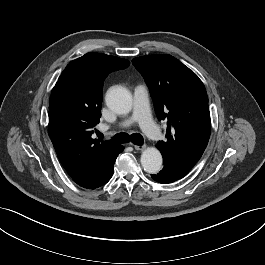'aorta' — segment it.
Returning <instances> with one entry per match:
<instances>
[{
	"label": "aorta",
	"mask_w": 265,
	"mask_h": 265,
	"mask_svg": "<svg viewBox=\"0 0 265 265\" xmlns=\"http://www.w3.org/2000/svg\"><path fill=\"white\" fill-rule=\"evenodd\" d=\"M106 105L116 114H127L131 111L133 100L130 92L122 86H112L106 93ZM162 155L157 148L149 147L142 152L141 165L150 174L162 169Z\"/></svg>",
	"instance_id": "762f6f07"
}]
</instances>
